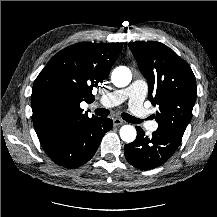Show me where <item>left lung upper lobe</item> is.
Wrapping results in <instances>:
<instances>
[{"mask_svg":"<svg viewBox=\"0 0 217 217\" xmlns=\"http://www.w3.org/2000/svg\"><path fill=\"white\" fill-rule=\"evenodd\" d=\"M149 86L148 99L159 110L153 117L163 128L182 137L196 101L195 76L189 65L160 42L128 44Z\"/></svg>","mask_w":217,"mask_h":217,"instance_id":"5c2ea615","label":"left lung upper lobe"}]
</instances>
